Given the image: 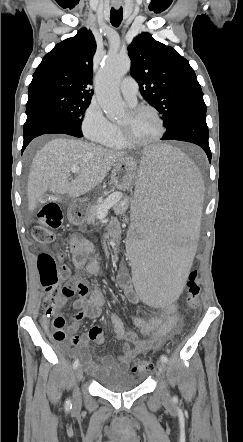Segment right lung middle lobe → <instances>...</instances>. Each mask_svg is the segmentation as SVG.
<instances>
[{"label": "right lung middle lobe", "mask_w": 243, "mask_h": 442, "mask_svg": "<svg viewBox=\"0 0 243 442\" xmlns=\"http://www.w3.org/2000/svg\"><path fill=\"white\" fill-rule=\"evenodd\" d=\"M91 100L62 92H46L31 96L26 104V111L32 108H46L68 120L81 131L84 113Z\"/></svg>", "instance_id": "1"}]
</instances>
